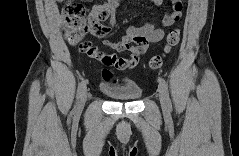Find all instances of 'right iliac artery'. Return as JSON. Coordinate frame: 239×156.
Wrapping results in <instances>:
<instances>
[{
    "mask_svg": "<svg viewBox=\"0 0 239 156\" xmlns=\"http://www.w3.org/2000/svg\"><path fill=\"white\" fill-rule=\"evenodd\" d=\"M86 84H87V80H83L79 83L78 89H77V95H76L77 100H79V98L81 97V95L86 87ZM73 112L74 113L77 112V105L74 107Z\"/></svg>",
    "mask_w": 239,
    "mask_h": 156,
    "instance_id": "1",
    "label": "right iliac artery"
}]
</instances>
